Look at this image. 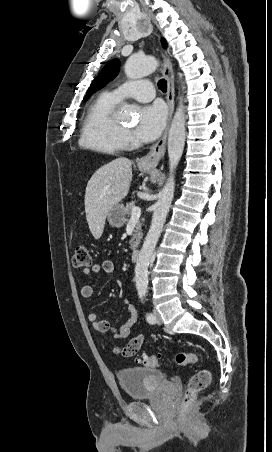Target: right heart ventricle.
I'll return each mask as SVG.
<instances>
[{
    "label": "right heart ventricle",
    "mask_w": 272,
    "mask_h": 452,
    "mask_svg": "<svg viewBox=\"0 0 272 452\" xmlns=\"http://www.w3.org/2000/svg\"><path fill=\"white\" fill-rule=\"evenodd\" d=\"M119 101L110 92L102 93L89 108L83 121L79 145L95 152L115 154L125 146L124 131L114 117Z\"/></svg>",
    "instance_id": "1"
}]
</instances>
